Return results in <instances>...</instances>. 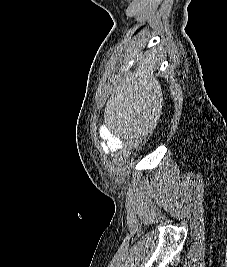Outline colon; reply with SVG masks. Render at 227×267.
Wrapping results in <instances>:
<instances>
[{"label": "colon", "mask_w": 227, "mask_h": 267, "mask_svg": "<svg viewBox=\"0 0 227 267\" xmlns=\"http://www.w3.org/2000/svg\"><path fill=\"white\" fill-rule=\"evenodd\" d=\"M157 117H160V114L157 115ZM148 139H140L136 142L137 149H132L133 156H140V154H143L144 147H147Z\"/></svg>", "instance_id": "1"}]
</instances>
